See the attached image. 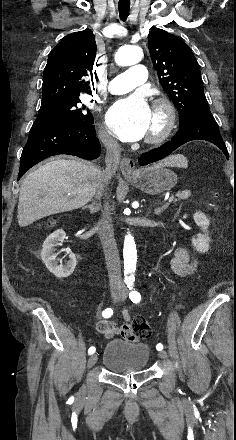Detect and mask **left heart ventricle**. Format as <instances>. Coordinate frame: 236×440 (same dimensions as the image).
I'll return each mask as SVG.
<instances>
[{"label":"left heart ventricle","instance_id":"left-heart-ventricle-1","mask_svg":"<svg viewBox=\"0 0 236 440\" xmlns=\"http://www.w3.org/2000/svg\"><path fill=\"white\" fill-rule=\"evenodd\" d=\"M158 122H159L158 117L153 113L151 125H150L148 132H151L152 130H154L157 127Z\"/></svg>","mask_w":236,"mask_h":440}]
</instances>
